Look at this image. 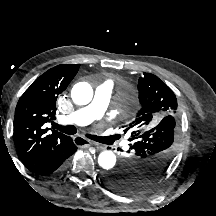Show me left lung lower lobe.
Instances as JSON below:
<instances>
[{
	"label": "left lung lower lobe",
	"instance_id": "0a47b994",
	"mask_svg": "<svg viewBox=\"0 0 216 216\" xmlns=\"http://www.w3.org/2000/svg\"><path fill=\"white\" fill-rule=\"evenodd\" d=\"M105 179H106V175L104 176V182H105ZM106 183V182H105Z\"/></svg>",
	"mask_w": 216,
	"mask_h": 216
}]
</instances>
